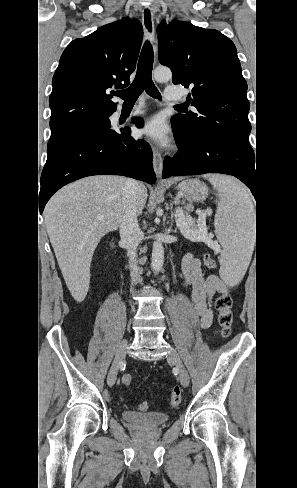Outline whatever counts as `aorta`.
<instances>
[{
    "label": "aorta",
    "instance_id": "aorta-1",
    "mask_svg": "<svg viewBox=\"0 0 297 488\" xmlns=\"http://www.w3.org/2000/svg\"><path fill=\"white\" fill-rule=\"evenodd\" d=\"M154 79L158 82H165L172 79V72L167 67H156L153 72ZM164 263V247L163 244L157 240L154 241L152 247L151 266L155 274H157Z\"/></svg>",
    "mask_w": 297,
    "mask_h": 488
}]
</instances>
